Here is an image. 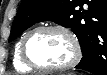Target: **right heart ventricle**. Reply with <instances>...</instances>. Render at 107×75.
<instances>
[{"instance_id":"right-heart-ventricle-1","label":"right heart ventricle","mask_w":107,"mask_h":75,"mask_svg":"<svg viewBox=\"0 0 107 75\" xmlns=\"http://www.w3.org/2000/svg\"><path fill=\"white\" fill-rule=\"evenodd\" d=\"M23 37L17 42L15 46L14 56H13V65L17 71L30 72L32 71V68H30L23 62L21 55H20V47H21V42L23 40Z\"/></svg>"}]
</instances>
